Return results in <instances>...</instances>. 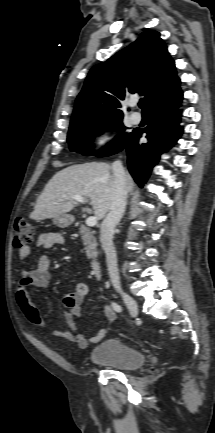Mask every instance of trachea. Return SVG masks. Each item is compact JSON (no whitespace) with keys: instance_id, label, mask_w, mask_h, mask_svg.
Here are the masks:
<instances>
[{"instance_id":"1","label":"trachea","mask_w":215,"mask_h":433,"mask_svg":"<svg viewBox=\"0 0 215 433\" xmlns=\"http://www.w3.org/2000/svg\"><path fill=\"white\" fill-rule=\"evenodd\" d=\"M139 107L143 110V111H147V107L145 105V101L144 99H140L139 103H138Z\"/></svg>"}]
</instances>
